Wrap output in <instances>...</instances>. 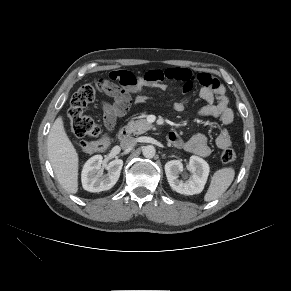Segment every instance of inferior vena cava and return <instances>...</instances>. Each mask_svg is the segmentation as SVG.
I'll use <instances>...</instances> for the list:
<instances>
[{"mask_svg":"<svg viewBox=\"0 0 291 291\" xmlns=\"http://www.w3.org/2000/svg\"><path fill=\"white\" fill-rule=\"evenodd\" d=\"M136 143H137V141L135 138L127 137L121 141L120 145L123 149H129V148L134 147L136 145Z\"/></svg>","mask_w":291,"mask_h":291,"instance_id":"1","label":"inferior vena cava"}]
</instances>
